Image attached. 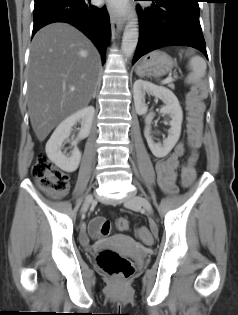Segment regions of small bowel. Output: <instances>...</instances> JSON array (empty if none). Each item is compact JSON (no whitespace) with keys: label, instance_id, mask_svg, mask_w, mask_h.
<instances>
[{"label":"small bowel","instance_id":"c3829d8e","mask_svg":"<svg viewBox=\"0 0 238 315\" xmlns=\"http://www.w3.org/2000/svg\"><path fill=\"white\" fill-rule=\"evenodd\" d=\"M184 145L183 143H178L174 150L165 158L157 159L155 162V170L157 173V179L159 186L161 189L169 194L172 195L176 193L177 186H176V179H177V168L179 165V158L184 153ZM196 160V155L194 154L190 159V168L192 169L189 177L188 182L190 185L195 177V170L192 164ZM187 185V186H188ZM144 243H149L150 238H140Z\"/></svg>","mask_w":238,"mask_h":315}]
</instances>
